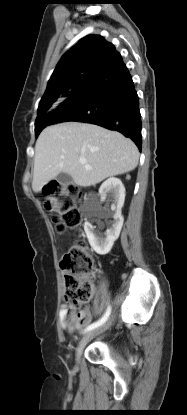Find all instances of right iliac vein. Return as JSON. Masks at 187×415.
Masks as SVG:
<instances>
[{
  "mask_svg": "<svg viewBox=\"0 0 187 415\" xmlns=\"http://www.w3.org/2000/svg\"><path fill=\"white\" fill-rule=\"evenodd\" d=\"M113 321V317L110 318L105 324H103L102 326L89 331L88 333H86L82 339L80 340L77 348H76V352H75V358L76 361L79 362L81 360V356L83 353V350L85 348V346L87 345V343L92 340L94 337L98 336L99 334H101L102 332H104L106 329H108L110 327V325L112 324Z\"/></svg>",
  "mask_w": 187,
  "mask_h": 415,
  "instance_id": "right-iliac-vein-1",
  "label": "right iliac vein"
}]
</instances>
